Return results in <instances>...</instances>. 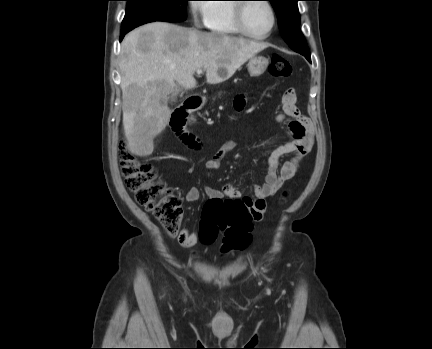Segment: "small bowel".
Listing matches in <instances>:
<instances>
[{"mask_svg":"<svg viewBox=\"0 0 432 349\" xmlns=\"http://www.w3.org/2000/svg\"><path fill=\"white\" fill-rule=\"evenodd\" d=\"M246 105V97L238 95L234 100V109L242 111ZM283 113L276 119L288 122L289 140L277 147L267 161V173L262 185L254 186V197L242 196L234 185L227 184L222 189L205 187V193L210 200L229 199L242 200L250 207L253 221H261L266 211V199L276 194L283 184L294 177L298 170L299 162L310 152L314 142V127L306 116H303L296 106V95L293 89H288L282 97ZM237 146V142L229 140L223 144L207 161L208 170H217L224 156ZM287 154H293V158L280 165V159ZM200 198V190L191 187L186 194V201L191 203ZM197 232L184 228L177 236L178 243L183 247H192L197 243Z\"/></svg>","mask_w":432,"mask_h":349,"instance_id":"1","label":"small bowel"}]
</instances>
